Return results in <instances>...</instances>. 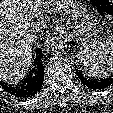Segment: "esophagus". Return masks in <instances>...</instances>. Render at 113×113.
Instances as JSON below:
<instances>
[{"mask_svg": "<svg viewBox=\"0 0 113 113\" xmlns=\"http://www.w3.org/2000/svg\"><path fill=\"white\" fill-rule=\"evenodd\" d=\"M57 33L59 34V36L65 40H69L70 39V34L68 31V26L63 24V25H59L56 28Z\"/></svg>", "mask_w": 113, "mask_h": 113, "instance_id": "1", "label": "esophagus"}]
</instances>
